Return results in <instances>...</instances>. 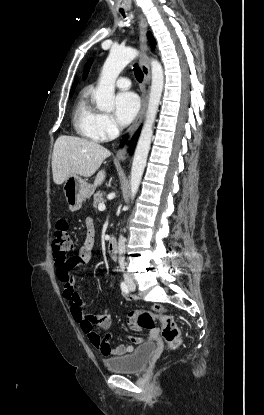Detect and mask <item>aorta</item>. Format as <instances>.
<instances>
[{
  "instance_id": "obj_1",
  "label": "aorta",
  "mask_w": 264,
  "mask_h": 415,
  "mask_svg": "<svg viewBox=\"0 0 264 415\" xmlns=\"http://www.w3.org/2000/svg\"><path fill=\"white\" fill-rule=\"evenodd\" d=\"M136 49L112 48L107 57L94 94L97 108L101 111L111 112L114 109L115 81L125 66L136 56ZM152 82L149 93L148 107L145 122L135 149L131 168V197L134 198L141 183L153 135V125L160 104L164 73L162 65L151 59Z\"/></svg>"
}]
</instances>
